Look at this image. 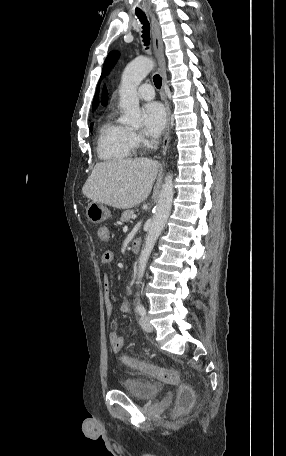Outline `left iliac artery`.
<instances>
[{
    "label": "left iliac artery",
    "mask_w": 286,
    "mask_h": 456,
    "mask_svg": "<svg viewBox=\"0 0 286 456\" xmlns=\"http://www.w3.org/2000/svg\"><path fill=\"white\" fill-rule=\"evenodd\" d=\"M136 300H137L136 311L138 312V314L144 316L146 314V310H145L144 306L142 305V303L140 302L139 294H137Z\"/></svg>",
    "instance_id": "44dca946"
}]
</instances>
